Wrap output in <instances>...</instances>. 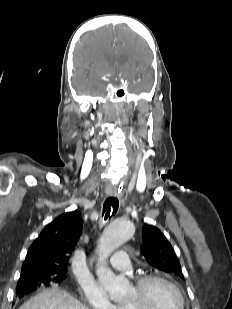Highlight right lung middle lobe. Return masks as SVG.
Returning <instances> with one entry per match:
<instances>
[{"mask_svg":"<svg viewBox=\"0 0 232 309\" xmlns=\"http://www.w3.org/2000/svg\"><path fill=\"white\" fill-rule=\"evenodd\" d=\"M65 276L66 272L56 270L21 272L17 288L27 285L39 287L59 284L65 279Z\"/></svg>","mask_w":232,"mask_h":309,"instance_id":"right-lung-middle-lobe-1","label":"right lung middle lobe"}]
</instances>
